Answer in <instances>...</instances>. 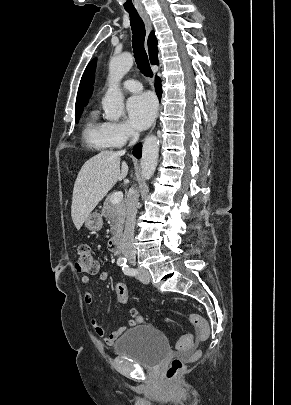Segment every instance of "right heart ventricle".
Instances as JSON below:
<instances>
[{
	"mask_svg": "<svg viewBox=\"0 0 291 405\" xmlns=\"http://www.w3.org/2000/svg\"><path fill=\"white\" fill-rule=\"evenodd\" d=\"M83 137L86 143L98 150L112 148L107 132L106 123L101 121L96 111H91L85 121Z\"/></svg>",
	"mask_w": 291,
	"mask_h": 405,
	"instance_id": "e07e8e85",
	"label": "right heart ventricle"
}]
</instances>
